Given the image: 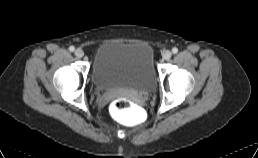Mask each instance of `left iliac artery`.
Here are the masks:
<instances>
[{"label": "left iliac artery", "instance_id": "obj_1", "mask_svg": "<svg viewBox=\"0 0 258 158\" xmlns=\"http://www.w3.org/2000/svg\"><path fill=\"white\" fill-rule=\"evenodd\" d=\"M172 52H173L174 54H176V53L178 52V49H177L176 47H174V48L172 49Z\"/></svg>", "mask_w": 258, "mask_h": 158}]
</instances>
